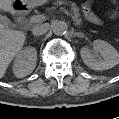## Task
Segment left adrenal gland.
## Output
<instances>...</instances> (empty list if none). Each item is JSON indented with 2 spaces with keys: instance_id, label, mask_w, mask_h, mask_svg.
Wrapping results in <instances>:
<instances>
[{
  "instance_id": "left-adrenal-gland-1",
  "label": "left adrenal gland",
  "mask_w": 119,
  "mask_h": 119,
  "mask_svg": "<svg viewBox=\"0 0 119 119\" xmlns=\"http://www.w3.org/2000/svg\"><path fill=\"white\" fill-rule=\"evenodd\" d=\"M74 36H76L78 38H83L84 37L83 33H80V32H75Z\"/></svg>"
}]
</instances>
